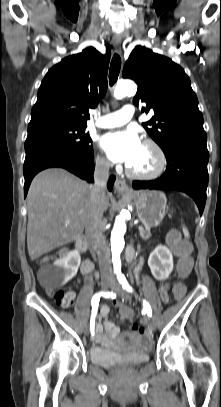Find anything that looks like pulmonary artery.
I'll return each mask as SVG.
<instances>
[{
    "instance_id": "pulmonary-artery-1",
    "label": "pulmonary artery",
    "mask_w": 221,
    "mask_h": 407,
    "mask_svg": "<svg viewBox=\"0 0 221 407\" xmlns=\"http://www.w3.org/2000/svg\"><path fill=\"white\" fill-rule=\"evenodd\" d=\"M135 109L132 105H125L120 110L100 117L96 126L100 128H113L126 124L134 115Z\"/></svg>"
}]
</instances>
